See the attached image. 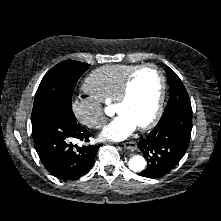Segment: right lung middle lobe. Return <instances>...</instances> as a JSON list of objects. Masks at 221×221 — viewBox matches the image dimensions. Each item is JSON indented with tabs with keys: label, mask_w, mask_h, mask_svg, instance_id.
Listing matches in <instances>:
<instances>
[{
	"label": "right lung middle lobe",
	"mask_w": 221,
	"mask_h": 221,
	"mask_svg": "<svg viewBox=\"0 0 221 221\" xmlns=\"http://www.w3.org/2000/svg\"><path fill=\"white\" fill-rule=\"evenodd\" d=\"M89 65L78 61H62L43 77L34 98L31 122L53 113L75 118L71 100L75 85Z\"/></svg>",
	"instance_id": "obj_1"
}]
</instances>
